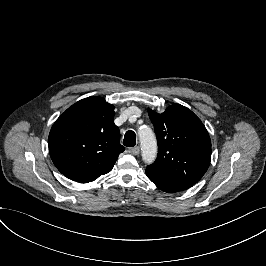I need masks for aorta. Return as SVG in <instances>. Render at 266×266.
I'll return each instance as SVG.
<instances>
[{
	"instance_id": "1",
	"label": "aorta",
	"mask_w": 266,
	"mask_h": 266,
	"mask_svg": "<svg viewBox=\"0 0 266 266\" xmlns=\"http://www.w3.org/2000/svg\"><path fill=\"white\" fill-rule=\"evenodd\" d=\"M141 143L151 141L154 143V147L151 149H144L142 151V159L145 163L151 164L154 162L157 154L156 139L152 130L146 127L138 132Z\"/></svg>"
}]
</instances>
